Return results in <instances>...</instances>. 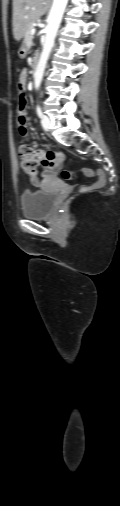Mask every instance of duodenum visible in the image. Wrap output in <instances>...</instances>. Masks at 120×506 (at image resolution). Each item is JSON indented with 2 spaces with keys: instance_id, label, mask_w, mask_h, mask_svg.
I'll list each match as a JSON object with an SVG mask.
<instances>
[{
  "instance_id": "410a0bca",
  "label": "duodenum",
  "mask_w": 120,
  "mask_h": 506,
  "mask_svg": "<svg viewBox=\"0 0 120 506\" xmlns=\"http://www.w3.org/2000/svg\"><path fill=\"white\" fill-rule=\"evenodd\" d=\"M38 61H39V57H38V55H36V56L34 57V70H35V69H36V67H37Z\"/></svg>"
}]
</instances>
